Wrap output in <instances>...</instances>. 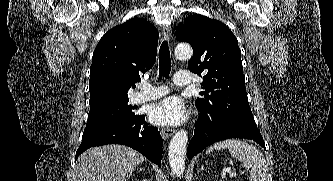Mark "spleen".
<instances>
[{
	"label": "spleen",
	"instance_id": "1",
	"mask_svg": "<svg viewBox=\"0 0 333 181\" xmlns=\"http://www.w3.org/2000/svg\"><path fill=\"white\" fill-rule=\"evenodd\" d=\"M221 149H228L231 156L240 161L242 166L251 169L250 181H267L268 165L256 147L240 140H224L210 146L206 153Z\"/></svg>",
	"mask_w": 333,
	"mask_h": 181
}]
</instances>
